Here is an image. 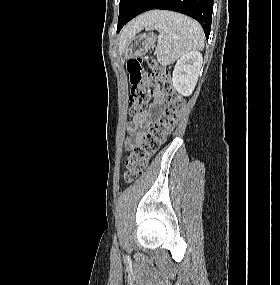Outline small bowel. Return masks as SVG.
I'll use <instances>...</instances> for the list:
<instances>
[{
	"label": "small bowel",
	"mask_w": 280,
	"mask_h": 285,
	"mask_svg": "<svg viewBox=\"0 0 280 285\" xmlns=\"http://www.w3.org/2000/svg\"><path fill=\"white\" fill-rule=\"evenodd\" d=\"M164 104V93L159 85L154 88V98L152 104L145 110L137 113L129 126V139L126 143L127 149L139 140L147 131L152 118V110Z\"/></svg>",
	"instance_id": "small-bowel-1"
}]
</instances>
